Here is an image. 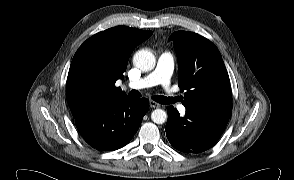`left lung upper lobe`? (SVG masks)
<instances>
[{
	"mask_svg": "<svg viewBox=\"0 0 294 180\" xmlns=\"http://www.w3.org/2000/svg\"><path fill=\"white\" fill-rule=\"evenodd\" d=\"M169 40L178 57V86L184 93L182 104L200 110L231 111V87L222 56L205 37L178 31Z\"/></svg>",
	"mask_w": 294,
	"mask_h": 180,
	"instance_id": "left-lung-upper-lobe-1",
	"label": "left lung upper lobe"
}]
</instances>
